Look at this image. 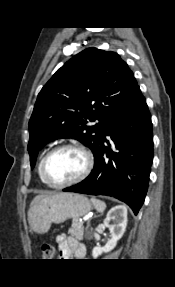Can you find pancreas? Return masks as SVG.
Wrapping results in <instances>:
<instances>
[{
    "label": "pancreas",
    "instance_id": "1",
    "mask_svg": "<svg viewBox=\"0 0 175 287\" xmlns=\"http://www.w3.org/2000/svg\"><path fill=\"white\" fill-rule=\"evenodd\" d=\"M68 233L75 237L77 240H83L84 227L82 224H79L75 219L72 222V226L69 229Z\"/></svg>",
    "mask_w": 175,
    "mask_h": 287
}]
</instances>
